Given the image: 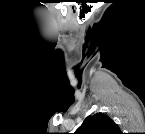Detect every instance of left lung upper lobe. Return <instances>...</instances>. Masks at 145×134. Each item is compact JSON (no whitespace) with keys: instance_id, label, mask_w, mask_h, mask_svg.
<instances>
[{"instance_id":"obj_1","label":"left lung upper lobe","mask_w":145,"mask_h":134,"mask_svg":"<svg viewBox=\"0 0 145 134\" xmlns=\"http://www.w3.org/2000/svg\"><path fill=\"white\" fill-rule=\"evenodd\" d=\"M118 125L106 114L89 115L75 134H120Z\"/></svg>"}]
</instances>
